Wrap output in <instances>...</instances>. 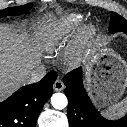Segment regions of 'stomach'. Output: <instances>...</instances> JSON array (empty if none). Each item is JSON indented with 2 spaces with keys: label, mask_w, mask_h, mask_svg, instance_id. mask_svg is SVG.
<instances>
[{
  "label": "stomach",
  "mask_w": 127,
  "mask_h": 127,
  "mask_svg": "<svg viewBox=\"0 0 127 127\" xmlns=\"http://www.w3.org/2000/svg\"><path fill=\"white\" fill-rule=\"evenodd\" d=\"M85 66L87 86L99 105L112 104L121 98L127 87V63L120 56L94 44Z\"/></svg>",
  "instance_id": "1"
}]
</instances>
